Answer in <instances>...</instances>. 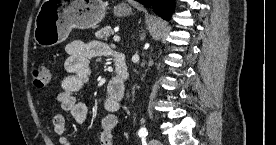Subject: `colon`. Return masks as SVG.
Segmentation results:
<instances>
[{
  "label": "colon",
  "mask_w": 276,
  "mask_h": 145,
  "mask_svg": "<svg viewBox=\"0 0 276 145\" xmlns=\"http://www.w3.org/2000/svg\"><path fill=\"white\" fill-rule=\"evenodd\" d=\"M34 85L38 88L46 87L51 81V73L45 66H36L32 71Z\"/></svg>",
  "instance_id": "5ec220e1"
}]
</instances>
